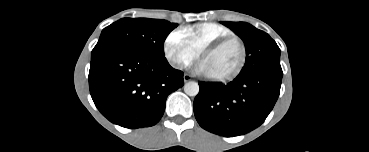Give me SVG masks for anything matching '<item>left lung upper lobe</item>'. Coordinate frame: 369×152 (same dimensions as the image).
Returning <instances> with one entry per match:
<instances>
[{"instance_id":"left-lung-upper-lobe-1","label":"left lung upper lobe","mask_w":369,"mask_h":152,"mask_svg":"<svg viewBox=\"0 0 369 152\" xmlns=\"http://www.w3.org/2000/svg\"><path fill=\"white\" fill-rule=\"evenodd\" d=\"M239 35L246 47V63L239 76H248L260 71L282 72L280 49L265 32L245 22H221Z\"/></svg>"}]
</instances>
